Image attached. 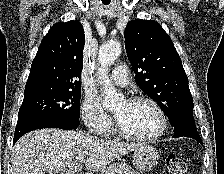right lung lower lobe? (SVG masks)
Masks as SVG:
<instances>
[{
  "label": "right lung lower lobe",
  "mask_w": 224,
  "mask_h": 174,
  "mask_svg": "<svg viewBox=\"0 0 224 174\" xmlns=\"http://www.w3.org/2000/svg\"><path fill=\"white\" fill-rule=\"evenodd\" d=\"M80 124V121L58 123V122H44L40 120H23L17 122L15 129L13 144L25 133L41 128H60L64 130L76 129Z\"/></svg>",
  "instance_id": "obj_1"
}]
</instances>
